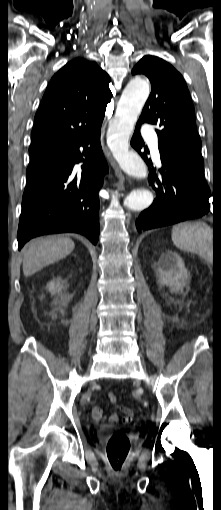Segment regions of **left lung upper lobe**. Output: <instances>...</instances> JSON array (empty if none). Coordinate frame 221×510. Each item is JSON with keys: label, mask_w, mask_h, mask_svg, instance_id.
<instances>
[{"label": "left lung upper lobe", "mask_w": 221, "mask_h": 510, "mask_svg": "<svg viewBox=\"0 0 221 510\" xmlns=\"http://www.w3.org/2000/svg\"><path fill=\"white\" fill-rule=\"evenodd\" d=\"M151 82V94L139 121L156 125L158 144L197 163L204 164L194 106L181 74L156 56H144L132 70Z\"/></svg>", "instance_id": "obj_1"}]
</instances>
